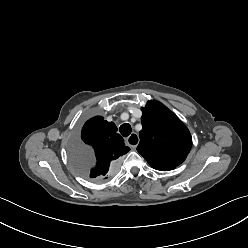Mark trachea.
I'll return each mask as SVG.
<instances>
[{
  "label": "trachea",
  "instance_id": "obj_1",
  "mask_svg": "<svg viewBox=\"0 0 248 248\" xmlns=\"http://www.w3.org/2000/svg\"><path fill=\"white\" fill-rule=\"evenodd\" d=\"M131 126L129 123H124L120 126L119 131L123 137H127L131 133Z\"/></svg>",
  "mask_w": 248,
  "mask_h": 248
}]
</instances>
